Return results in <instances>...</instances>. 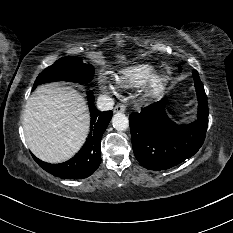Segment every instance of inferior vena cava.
I'll use <instances>...</instances> for the list:
<instances>
[{
  "label": "inferior vena cava",
  "mask_w": 233,
  "mask_h": 233,
  "mask_svg": "<svg viewBox=\"0 0 233 233\" xmlns=\"http://www.w3.org/2000/svg\"><path fill=\"white\" fill-rule=\"evenodd\" d=\"M114 106V100L107 96V95H101L97 99V107L101 111H107L112 110Z\"/></svg>",
  "instance_id": "inferior-vena-cava-1"
}]
</instances>
